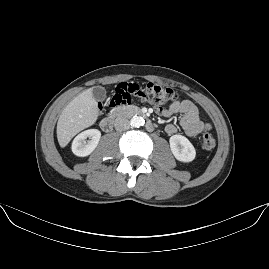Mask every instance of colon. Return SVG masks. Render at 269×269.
Wrapping results in <instances>:
<instances>
[{"label":"colon","mask_w":269,"mask_h":269,"mask_svg":"<svg viewBox=\"0 0 269 269\" xmlns=\"http://www.w3.org/2000/svg\"><path fill=\"white\" fill-rule=\"evenodd\" d=\"M177 99L178 94L168 86L155 82H146L142 85L137 82H128L116 87L115 93L106 98V105L115 107L120 104L148 102L155 106H169ZM201 143L206 151H212L216 147V141L209 131L202 134Z\"/></svg>","instance_id":"5ec220e1"}]
</instances>
